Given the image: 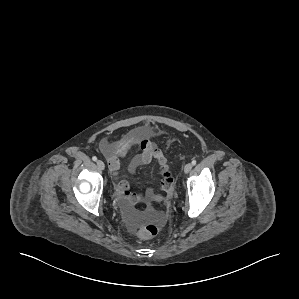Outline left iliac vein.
Wrapping results in <instances>:
<instances>
[{
  "label": "left iliac vein",
  "mask_w": 299,
  "mask_h": 299,
  "mask_svg": "<svg viewBox=\"0 0 299 299\" xmlns=\"http://www.w3.org/2000/svg\"><path fill=\"white\" fill-rule=\"evenodd\" d=\"M192 169V164L191 163H187L185 166H184V172L185 173H189Z\"/></svg>",
  "instance_id": "obj_1"
}]
</instances>
